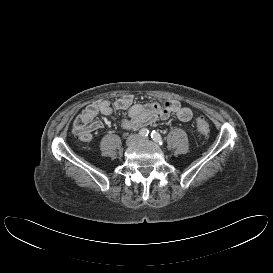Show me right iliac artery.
Wrapping results in <instances>:
<instances>
[{"label": "right iliac artery", "instance_id": "1", "mask_svg": "<svg viewBox=\"0 0 273 273\" xmlns=\"http://www.w3.org/2000/svg\"><path fill=\"white\" fill-rule=\"evenodd\" d=\"M139 134H140V136H142V137H147L148 134H149V130L146 129V128H143V129H141V130L139 131Z\"/></svg>", "mask_w": 273, "mask_h": 273}]
</instances>
